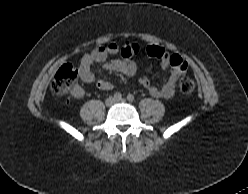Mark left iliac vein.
Wrapping results in <instances>:
<instances>
[{
    "label": "left iliac vein",
    "instance_id": "obj_1",
    "mask_svg": "<svg viewBox=\"0 0 248 194\" xmlns=\"http://www.w3.org/2000/svg\"><path fill=\"white\" fill-rule=\"evenodd\" d=\"M116 102L124 103V102H126V100L124 98H121L119 100H116Z\"/></svg>",
    "mask_w": 248,
    "mask_h": 194
}]
</instances>
